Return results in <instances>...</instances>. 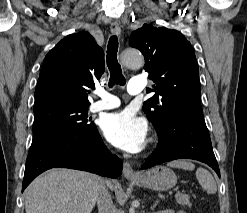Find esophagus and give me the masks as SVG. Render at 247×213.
Here are the masks:
<instances>
[{
	"instance_id": "esophagus-1",
	"label": "esophagus",
	"mask_w": 247,
	"mask_h": 213,
	"mask_svg": "<svg viewBox=\"0 0 247 213\" xmlns=\"http://www.w3.org/2000/svg\"><path fill=\"white\" fill-rule=\"evenodd\" d=\"M110 29L114 35L121 34V28L118 23H112ZM123 175L128 179L137 178L139 176L136 172H134V170L128 162H124L123 164Z\"/></svg>"
}]
</instances>
